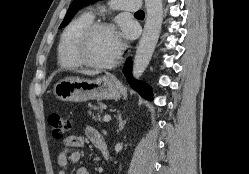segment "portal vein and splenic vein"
Returning a JSON list of instances; mask_svg holds the SVG:
<instances>
[{
  "mask_svg": "<svg viewBox=\"0 0 249 174\" xmlns=\"http://www.w3.org/2000/svg\"><path fill=\"white\" fill-rule=\"evenodd\" d=\"M110 120H111V116L110 115H108V114L104 115V121L105 122H109Z\"/></svg>",
  "mask_w": 249,
  "mask_h": 174,
  "instance_id": "18ae733b",
  "label": "portal vein and splenic vein"
}]
</instances>
